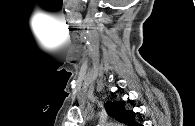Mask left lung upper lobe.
I'll use <instances>...</instances> for the list:
<instances>
[{"instance_id": "left-lung-upper-lobe-1", "label": "left lung upper lobe", "mask_w": 195, "mask_h": 126, "mask_svg": "<svg viewBox=\"0 0 195 126\" xmlns=\"http://www.w3.org/2000/svg\"><path fill=\"white\" fill-rule=\"evenodd\" d=\"M105 109L109 116L127 126H136L138 123L134 120V112L125 110L123 102H110L105 104Z\"/></svg>"}]
</instances>
